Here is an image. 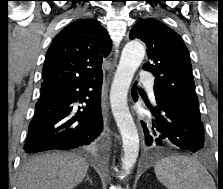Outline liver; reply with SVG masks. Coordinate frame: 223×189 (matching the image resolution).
I'll return each mask as SVG.
<instances>
[{"label": "liver", "instance_id": "1", "mask_svg": "<svg viewBox=\"0 0 223 189\" xmlns=\"http://www.w3.org/2000/svg\"><path fill=\"white\" fill-rule=\"evenodd\" d=\"M87 161L71 153L36 156L24 165L18 189H73L87 174Z\"/></svg>", "mask_w": 223, "mask_h": 189}]
</instances>
